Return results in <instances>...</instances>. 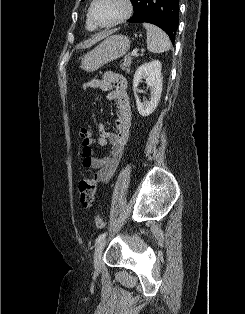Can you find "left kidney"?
Here are the masks:
<instances>
[{
	"label": "left kidney",
	"instance_id": "obj_1",
	"mask_svg": "<svg viewBox=\"0 0 245 314\" xmlns=\"http://www.w3.org/2000/svg\"><path fill=\"white\" fill-rule=\"evenodd\" d=\"M162 65L159 60H154L149 63L141 65L135 72L133 78V88L136 98V105L138 112L141 116L146 117L154 112L156 109L161 93H162ZM141 79L146 80V84L150 87V100L141 103L137 96V87L141 82Z\"/></svg>",
	"mask_w": 245,
	"mask_h": 314
}]
</instances>
